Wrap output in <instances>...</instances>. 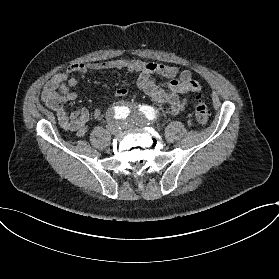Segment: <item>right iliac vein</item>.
I'll return each mask as SVG.
<instances>
[{"instance_id":"63e3f726","label":"right iliac vein","mask_w":279,"mask_h":279,"mask_svg":"<svg viewBox=\"0 0 279 279\" xmlns=\"http://www.w3.org/2000/svg\"><path fill=\"white\" fill-rule=\"evenodd\" d=\"M108 130H110L111 133L116 134V132H117V121L116 120L109 121Z\"/></svg>"}]
</instances>
